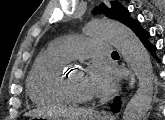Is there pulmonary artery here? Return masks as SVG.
I'll list each match as a JSON object with an SVG mask.
<instances>
[{
	"instance_id": "obj_1",
	"label": "pulmonary artery",
	"mask_w": 165,
	"mask_h": 120,
	"mask_svg": "<svg viewBox=\"0 0 165 120\" xmlns=\"http://www.w3.org/2000/svg\"><path fill=\"white\" fill-rule=\"evenodd\" d=\"M53 46L67 58L75 59L89 55H110V45L103 41L83 39L74 36H64L57 39Z\"/></svg>"
}]
</instances>
